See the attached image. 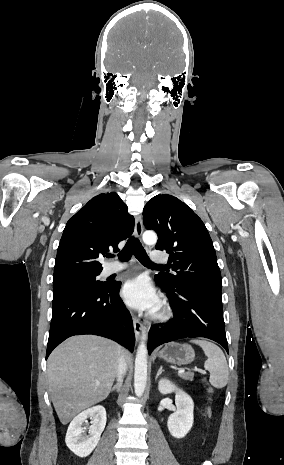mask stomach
<instances>
[{
	"label": "stomach",
	"mask_w": 284,
	"mask_h": 465,
	"mask_svg": "<svg viewBox=\"0 0 284 465\" xmlns=\"http://www.w3.org/2000/svg\"><path fill=\"white\" fill-rule=\"evenodd\" d=\"M160 359H164L172 365H190L194 361L195 353L190 345H178V343H168L160 353Z\"/></svg>",
	"instance_id": "1"
}]
</instances>
